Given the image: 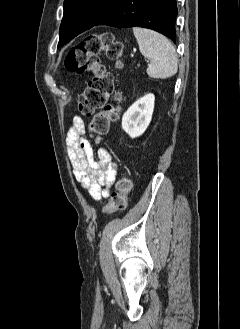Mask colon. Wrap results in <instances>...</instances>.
I'll list each match as a JSON object with an SVG mask.
<instances>
[{
	"mask_svg": "<svg viewBox=\"0 0 240 329\" xmlns=\"http://www.w3.org/2000/svg\"><path fill=\"white\" fill-rule=\"evenodd\" d=\"M101 52L116 59L121 66L122 45L114 41L108 33L86 35L65 58V67L68 71L90 74L86 88L78 96V105L80 112L85 116L100 110L89 123V129L97 136V140L108 132L110 124L119 117L120 108L117 104L108 102L110 96H113L116 102L121 99V93L114 89L112 76L106 72L101 62ZM131 188L132 182L129 177L119 179L108 204L104 207V213L124 210Z\"/></svg>",
	"mask_w": 240,
	"mask_h": 329,
	"instance_id": "obj_1",
	"label": "colon"
}]
</instances>
